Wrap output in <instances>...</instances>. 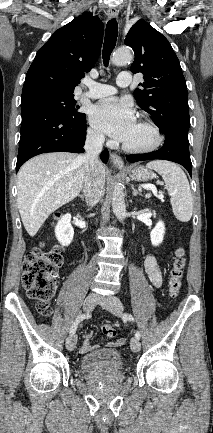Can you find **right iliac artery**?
<instances>
[{
  "instance_id": "82829eb1",
  "label": "right iliac artery",
  "mask_w": 213,
  "mask_h": 433,
  "mask_svg": "<svg viewBox=\"0 0 213 433\" xmlns=\"http://www.w3.org/2000/svg\"><path fill=\"white\" fill-rule=\"evenodd\" d=\"M90 314H80L77 316L76 320L74 321L73 325L70 328V335H74L77 329V326L80 322H82L85 318L89 317Z\"/></svg>"
}]
</instances>
